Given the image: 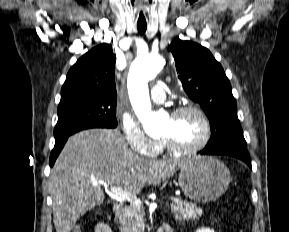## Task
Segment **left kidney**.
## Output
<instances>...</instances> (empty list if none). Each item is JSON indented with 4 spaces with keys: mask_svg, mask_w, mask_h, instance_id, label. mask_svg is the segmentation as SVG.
<instances>
[{
    "mask_svg": "<svg viewBox=\"0 0 289 232\" xmlns=\"http://www.w3.org/2000/svg\"><path fill=\"white\" fill-rule=\"evenodd\" d=\"M196 232H214V230L209 229V228L202 227V228H200V229H197Z\"/></svg>",
    "mask_w": 289,
    "mask_h": 232,
    "instance_id": "5707ae66",
    "label": "left kidney"
}]
</instances>
